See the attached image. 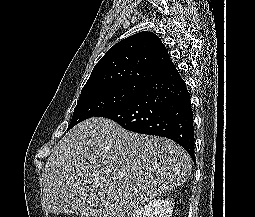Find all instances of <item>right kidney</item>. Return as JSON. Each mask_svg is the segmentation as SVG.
Listing matches in <instances>:
<instances>
[{"instance_id":"obj_1","label":"right kidney","mask_w":255,"mask_h":217,"mask_svg":"<svg viewBox=\"0 0 255 217\" xmlns=\"http://www.w3.org/2000/svg\"><path fill=\"white\" fill-rule=\"evenodd\" d=\"M174 202L169 199H154L136 210L131 217H172Z\"/></svg>"}]
</instances>
